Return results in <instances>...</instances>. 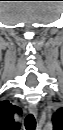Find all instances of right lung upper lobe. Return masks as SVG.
Masks as SVG:
<instances>
[{"instance_id": "right-lung-upper-lobe-1", "label": "right lung upper lobe", "mask_w": 63, "mask_h": 130, "mask_svg": "<svg viewBox=\"0 0 63 130\" xmlns=\"http://www.w3.org/2000/svg\"><path fill=\"white\" fill-rule=\"evenodd\" d=\"M21 114L22 111L19 107L12 105L9 101L0 102V121L1 125L5 126L8 130H19V125L14 121V113Z\"/></svg>"}]
</instances>
